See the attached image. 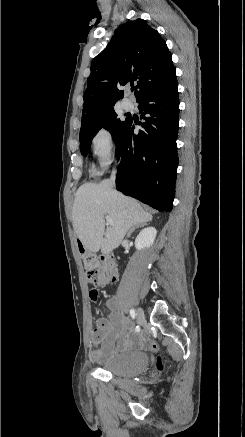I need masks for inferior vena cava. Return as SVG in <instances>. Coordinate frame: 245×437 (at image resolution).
<instances>
[{
  "label": "inferior vena cava",
  "mask_w": 245,
  "mask_h": 437,
  "mask_svg": "<svg viewBox=\"0 0 245 437\" xmlns=\"http://www.w3.org/2000/svg\"><path fill=\"white\" fill-rule=\"evenodd\" d=\"M115 177H116V170H113L110 176V180L113 184L115 183Z\"/></svg>",
  "instance_id": "inferior-vena-cava-1"
}]
</instances>
